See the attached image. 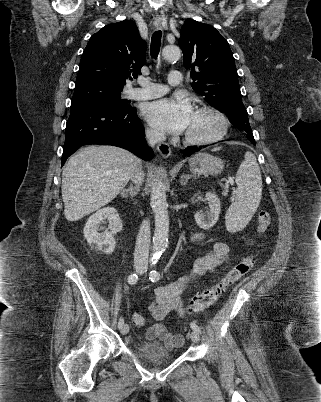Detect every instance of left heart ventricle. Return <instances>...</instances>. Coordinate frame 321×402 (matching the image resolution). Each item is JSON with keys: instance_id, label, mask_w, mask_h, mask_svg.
Here are the masks:
<instances>
[{"instance_id": "left-heart-ventricle-1", "label": "left heart ventricle", "mask_w": 321, "mask_h": 402, "mask_svg": "<svg viewBox=\"0 0 321 402\" xmlns=\"http://www.w3.org/2000/svg\"><path fill=\"white\" fill-rule=\"evenodd\" d=\"M218 129L219 121L216 116L209 112L194 111L185 133L194 137L204 138L214 135Z\"/></svg>"}]
</instances>
